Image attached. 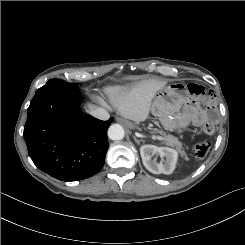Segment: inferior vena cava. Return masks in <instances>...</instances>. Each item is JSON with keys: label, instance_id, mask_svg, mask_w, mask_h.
I'll use <instances>...</instances> for the list:
<instances>
[{"label": "inferior vena cava", "instance_id": "602c4592", "mask_svg": "<svg viewBox=\"0 0 245 245\" xmlns=\"http://www.w3.org/2000/svg\"><path fill=\"white\" fill-rule=\"evenodd\" d=\"M90 114L94 116L95 118H98L100 120H108L110 118V114L103 108H95L90 111Z\"/></svg>", "mask_w": 245, "mask_h": 245}]
</instances>
